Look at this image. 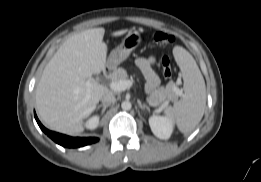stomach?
<instances>
[{
    "label": "stomach",
    "instance_id": "obj_1",
    "mask_svg": "<svg viewBox=\"0 0 261 182\" xmlns=\"http://www.w3.org/2000/svg\"><path fill=\"white\" fill-rule=\"evenodd\" d=\"M141 43V35L138 31H130L122 40L121 44L113 49L108 57L107 66L116 68L125 61L130 53Z\"/></svg>",
    "mask_w": 261,
    "mask_h": 182
}]
</instances>
